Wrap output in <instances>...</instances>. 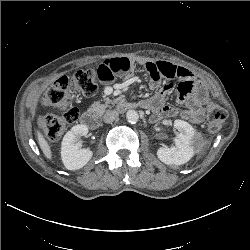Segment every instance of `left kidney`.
I'll return each instance as SVG.
<instances>
[{
    "instance_id": "5707ae66",
    "label": "left kidney",
    "mask_w": 250,
    "mask_h": 250,
    "mask_svg": "<svg viewBox=\"0 0 250 250\" xmlns=\"http://www.w3.org/2000/svg\"><path fill=\"white\" fill-rule=\"evenodd\" d=\"M174 127L179 131L175 139V146L159 148L157 156L167 165H182L194 155L197 134L194 128L183 120H175Z\"/></svg>"
}]
</instances>
